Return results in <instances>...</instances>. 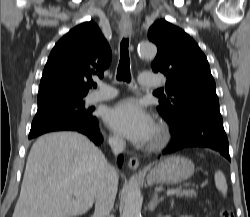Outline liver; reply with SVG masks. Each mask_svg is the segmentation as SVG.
Wrapping results in <instances>:
<instances>
[{
    "mask_svg": "<svg viewBox=\"0 0 250 217\" xmlns=\"http://www.w3.org/2000/svg\"><path fill=\"white\" fill-rule=\"evenodd\" d=\"M102 151L75 132L41 136L29 152L12 217H72L94 204L104 169Z\"/></svg>",
    "mask_w": 250,
    "mask_h": 217,
    "instance_id": "liver-1",
    "label": "liver"
}]
</instances>
